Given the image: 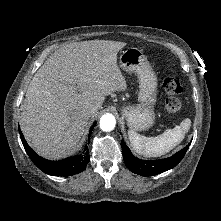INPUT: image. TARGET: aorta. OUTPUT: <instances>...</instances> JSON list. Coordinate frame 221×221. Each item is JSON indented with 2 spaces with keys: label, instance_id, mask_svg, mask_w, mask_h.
Here are the masks:
<instances>
[{
  "label": "aorta",
  "instance_id": "obj_1",
  "mask_svg": "<svg viewBox=\"0 0 221 221\" xmlns=\"http://www.w3.org/2000/svg\"><path fill=\"white\" fill-rule=\"evenodd\" d=\"M116 124L115 117L112 114H105L100 119V128L103 131H111Z\"/></svg>",
  "mask_w": 221,
  "mask_h": 221
}]
</instances>
